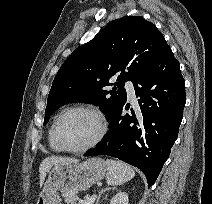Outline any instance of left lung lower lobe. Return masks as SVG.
Returning a JSON list of instances; mask_svg holds the SVG:
<instances>
[{
	"label": "left lung lower lobe",
	"mask_w": 212,
	"mask_h": 204,
	"mask_svg": "<svg viewBox=\"0 0 212 204\" xmlns=\"http://www.w3.org/2000/svg\"><path fill=\"white\" fill-rule=\"evenodd\" d=\"M134 83L139 115L123 114L130 105H120L108 117V134L85 156L108 155L131 164L145 173L150 187L177 139L186 103L185 81L171 48Z\"/></svg>",
	"instance_id": "0a47b994"
}]
</instances>
